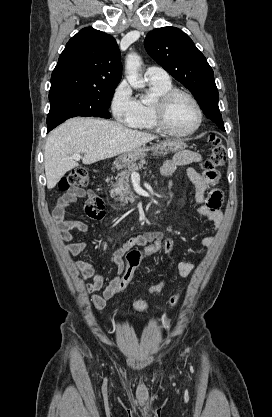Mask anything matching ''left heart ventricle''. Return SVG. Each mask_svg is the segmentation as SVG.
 Segmentation results:
<instances>
[{
  "mask_svg": "<svg viewBox=\"0 0 272 417\" xmlns=\"http://www.w3.org/2000/svg\"><path fill=\"white\" fill-rule=\"evenodd\" d=\"M167 122L177 132L191 130L197 122L194 105L185 97L176 98L168 110Z\"/></svg>",
  "mask_w": 272,
  "mask_h": 417,
  "instance_id": "left-heart-ventricle-1",
  "label": "left heart ventricle"
}]
</instances>
